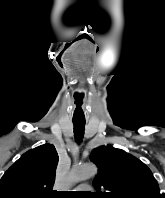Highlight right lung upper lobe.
I'll return each mask as SVG.
<instances>
[{
    "label": "right lung upper lobe",
    "mask_w": 165,
    "mask_h": 198,
    "mask_svg": "<svg viewBox=\"0 0 165 198\" xmlns=\"http://www.w3.org/2000/svg\"><path fill=\"white\" fill-rule=\"evenodd\" d=\"M58 160L50 144L27 151L1 178L0 198H51Z\"/></svg>",
    "instance_id": "cb5924a9"
}]
</instances>
